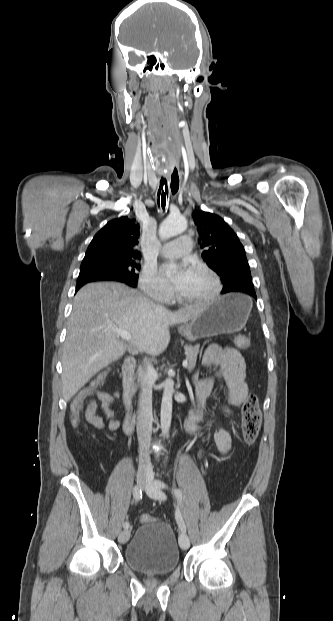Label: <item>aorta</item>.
I'll list each match as a JSON object with an SVG mask.
<instances>
[{
	"instance_id": "obj_1",
	"label": "aorta",
	"mask_w": 333,
	"mask_h": 621,
	"mask_svg": "<svg viewBox=\"0 0 333 621\" xmlns=\"http://www.w3.org/2000/svg\"><path fill=\"white\" fill-rule=\"evenodd\" d=\"M187 228V222L180 215H169L161 224L158 234L161 239H169L184 232ZM164 391L161 403V431L165 437L171 426L172 419V395L174 392V382L171 378L165 380Z\"/></svg>"
}]
</instances>
